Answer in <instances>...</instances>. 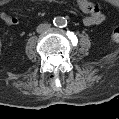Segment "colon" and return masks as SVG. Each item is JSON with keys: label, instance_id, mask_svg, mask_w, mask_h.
Returning a JSON list of instances; mask_svg holds the SVG:
<instances>
[{"label": "colon", "instance_id": "5ec220e1", "mask_svg": "<svg viewBox=\"0 0 119 119\" xmlns=\"http://www.w3.org/2000/svg\"><path fill=\"white\" fill-rule=\"evenodd\" d=\"M111 39L114 42H118L119 41V28H115L112 33H111Z\"/></svg>", "mask_w": 119, "mask_h": 119}]
</instances>
